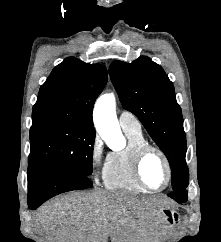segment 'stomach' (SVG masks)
<instances>
[{"instance_id": "stomach-1", "label": "stomach", "mask_w": 221, "mask_h": 242, "mask_svg": "<svg viewBox=\"0 0 221 242\" xmlns=\"http://www.w3.org/2000/svg\"><path fill=\"white\" fill-rule=\"evenodd\" d=\"M163 210H167V207H164V208H162V209L160 210V212H159L160 215L164 214V211H163Z\"/></svg>"}]
</instances>
